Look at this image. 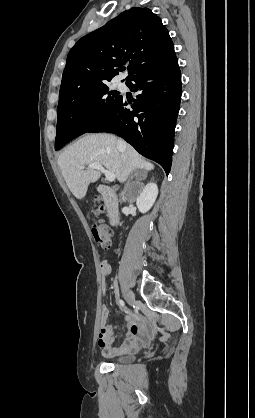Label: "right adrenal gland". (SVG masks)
<instances>
[{
  "mask_svg": "<svg viewBox=\"0 0 255 418\" xmlns=\"http://www.w3.org/2000/svg\"><path fill=\"white\" fill-rule=\"evenodd\" d=\"M139 175H142V179H146V177H147V172L146 171H136L135 173H134V175H132L131 177H130V179H132L133 177H136V178H138L139 177Z\"/></svg>",
  "mask_w": 255,
  "mask_h": 418,
  "instance_id": "2a0ac1e0",
  "label": "right adrenal gland"
}]
</instances>
